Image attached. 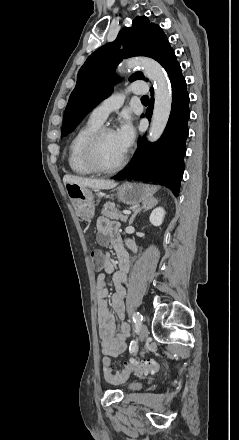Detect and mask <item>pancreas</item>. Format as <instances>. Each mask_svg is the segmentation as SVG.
<instances>
[{
    "label": "pancreas",
    "mask_w": 239,
    "mask_h": 440,
    "mask_svg": "<svg viewBox=\"0 0 239 440\" xmlns=\"http://www.w3.org/2000/svg\"><path fill=\"white\" fill-rule=\"evenodd\" d=\"M101 214L106 216V218H111V220H121V222H126L127 220V216H122L117 208H115L113 202H106L103 206V210H101Z\"/></svg>",
    "instance_id": "pancreas-1"
}]
</instances>
